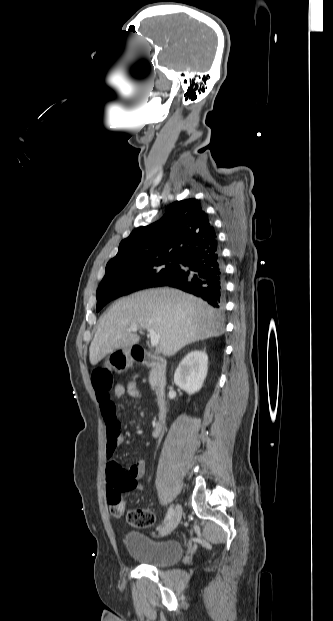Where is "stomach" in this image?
<instances>
[{"label": "stomach", "instance_id": "1", "mask_svg": "<svg viewBox=\"0 0 333 621\" xmlns=\"http://www.w3.org/2000/svg\"><path fill=\"white\" fill-rule=\"evenodd\" d=\"M109 359V364L112 367L120 369L122 367L119 368L117 364L126 366L132 362L131 348L118 347L113 349L109 355Z\"/></svg>", "mask_w": 333, "mask_h": 621}]
</instances>
